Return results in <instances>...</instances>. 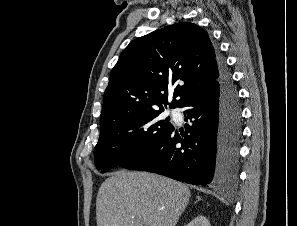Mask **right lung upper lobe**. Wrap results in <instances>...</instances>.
<instances>
[{"label": "right lung upper lobe", "instance_id": "cb5924a9", "mask_svg": "<svg viewBox=\"0 0 297 226\" xmlns=\"http://www.w3.org/2000/svg\"><path fill=\"white\" fill-rule=\"evenodd\" d=\"M219 78V56L208 33L177 23L132 41L114 66L104 93L101 129L130 117L180 107L191 95L209 90ZM177 98V99H176Z\"/></svg>", "mask_w": 297, "mask_h": 226}]
</instances>
